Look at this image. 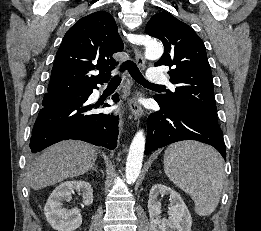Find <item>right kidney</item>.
<instances>
[{
  "label": "right kidney",
  "mask_w": 261,
  "mask_h": 231,
  "mask_svg": "<svg viewBox=\"0 0 261 231\" xmlns=\"http://www.w3.org/2000/svg\"><path fill=\"white\" fill-rule=\"evenodd\" d=\"M74 190L81 192L84 205L88 206L93 202V190L91 184L86 181H66L57 186L44 207L48 223L57 231H74L82 224V216L77 208L72 210L62 208V201L69 202Z\"/></svg>",
  "instance_id": "right-kidney-1"
}]
</instances>
